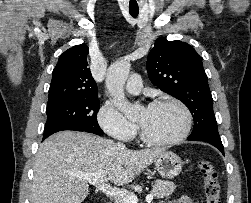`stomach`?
<instances>
[{
  "label": "stomach",
  "mask_w": 251,
  "mask_h": 203,
  "mask_svg": "<svg viewBox=\"0 0 251 203\" xmlns=\"http://www.w3.org/2000/svg\"><path fill=\"white\" fill-rule=\"evenodd\" d=\"M182 167L181 158L171 151H164L155 160V169L165 178H174L181 172Z\"/></svg>",
  "instance_id": "stomach-1"
}]
</instances>
